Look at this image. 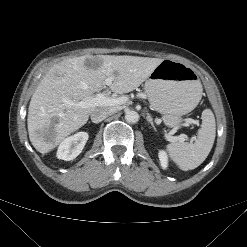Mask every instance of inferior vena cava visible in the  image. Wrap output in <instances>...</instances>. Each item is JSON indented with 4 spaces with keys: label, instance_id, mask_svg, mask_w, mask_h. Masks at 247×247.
I'll list each match as a JSON object with an SVG mask.
<instances>
[{
    "label": "inferior vena cava",
    "instance_id": "inferior-vena-cava-1",
    "mask_svg": "<svg viewBox=\"0 0 247 247\" xmlns=\"http://www.w3.org/2000/svg\"><path fill=\"white\" fill-rule=\"evenodd\" d=\"M115 112H116V108L96 109L91 113V121L94 123H99L109 115L114 114Z\"/></svg>",
    "mask_w": 247,
    "mask_h": 247
}]
</instances>
